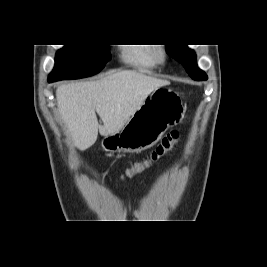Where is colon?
<instances>
[{
  "mask_svg": "<svg viewBox=\"0 0 267 267\" xmlns=\"http://www.w3.org/2000/svg\"><path fill=\"white\" fill-rule=\"evenodd\" d=\"M181 133L180 131L174 130L169 132L166 136L162 138L160 143L154 148V150L150 153V156L147 160L138 162L134 164L130 169H122V177L123 174H126V181L127 178H137V173L145 170L148 168L153 162L158 161L166 154L171 152L174 147L177 145L180 139ZM119 178L118 176L116 177Z\"/></svg>",
  "mask_w": 267,
  "mask_h": 267,
  "instance_id": "colon-1",
  "label": "colon"
}]
</instances>
